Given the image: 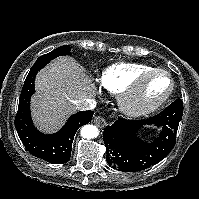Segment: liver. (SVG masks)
<instances>
[{
	"label": "liver",
	"instance_id": "liver-1",
	"mask_svg": "<svg viewBox=\"0 0 199 199\" xmlns=\"http://www.w3.org/2000/svg\"><path fill=\"white\" fill-rule=\"evenodd\" d=\"M92 81L71 57H60L46 66L36 77L31 100L37 128L48 134L59 130L76 111V101L96 95Z\"/></svg>",
	"mask_w": 199,
	"mask_h": 199
}]
</instances>
